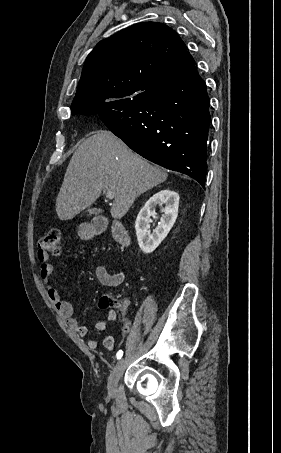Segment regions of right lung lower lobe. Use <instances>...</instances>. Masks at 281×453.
<instances>
[{
  "label": "right lung lower lobe",
  "instance_id": "1",
  "mask_svg": "<svg viewBox=\"0 0 281 453\" xmlns=\"http://www.w3.org/2000/svg\"><path fill=\"white\" fill-rule=\"evenodd\" d=\"M209 97L196 67L129 101L88 109L144 158L189 175L205 188Z\"/></svg>",
  "mask_w": 281,
  "mask_h": 453
}]
</instances>
